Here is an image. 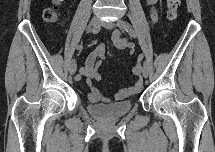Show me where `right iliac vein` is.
Listing matches in <instances>:
<instances>
[{"label": "right iliac vein", "mask_w": 215, "mask_h": 152, "mask_svg": "<svg viewBox=\"0 0 215 152\" xmlns=\"http://www.w3.org/2000/svg\"><path fill=\"white\" fill-rule=\"evenodd\" d=\"M99 23H100V19H99L98 17H93V18L90 20V26H92V27L98 26ZM76 69H77L76 61H75V60H72V62L70 63V66H69L70 74H71V75H74L75 72H76Z\"/></svg>", "instance_id": "1"}]
</instances>
